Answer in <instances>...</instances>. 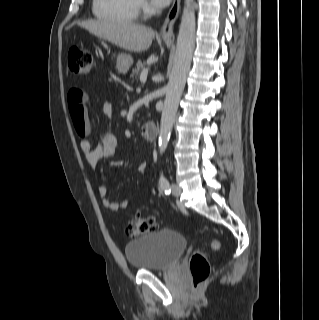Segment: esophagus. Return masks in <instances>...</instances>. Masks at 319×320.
I'll use <instances>...</instances> for the list:
<instances>
[{"mask_svg": "<svg viewBox=\"0 0 319 320\" xmlns=\"http://www.w3.org/2000/svg\"><path fill=\"white\" fill-rule=\"evenodd\" d=\"M181 0H174L167 14V17L161 27L160 36L167 42L174 41L173 26L179 15Z\"/></svg>", "mask_w": 319, "mask_h": 320, "instance_id": "1", "label": "esophagus"}]
</instances>
